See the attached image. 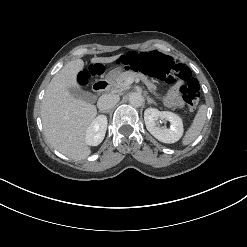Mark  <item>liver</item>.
<instances>
[{
	"mask_svg": "<svg viewBox=\"0 0 247 247\" xmlns=\"http://www.w3.org/2000/svg\"><path fill=\"white\" fill-rule=\"evenodd\" d=\"M120 55L94 57L91 63H111ZM84 67L81 59L67 63L49 83L41 106V119L47 141L63 155L82 160L91 149L86 143V131L97 115L95 105L74 98L69 88H79L77 74Z\"/></svg>",
	"mask_w": 247,
	"mask_h": 247,
	"instance_id": "liver-1",
	"label": "liver"
}]
</instances>
